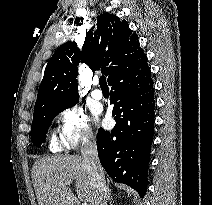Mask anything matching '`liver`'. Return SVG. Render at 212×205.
<instances>
[{
    "label": "liver",
    "mask_w": 212,
    "mask_h": 205,
    "mask_svg": "<svg viewBox=\"0 0 212 205\" xmlns=\"http://www.w3.org/2000/svg\"><path fill=\"white\" fill-rule=\"evenodd\" d=\"M33 185L38 205H92L91 176L81 156L57 155L37 160L32 169ZM75 182L77 197L65 182Z\"/></svg>",
    "instance_id": "obj_1"
}]
</instances>
